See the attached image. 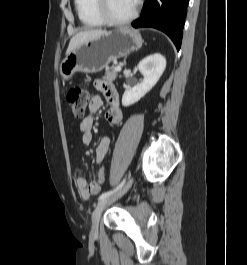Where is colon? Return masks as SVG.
Wrapping results in <instances>:
<instances>
[{"instance_id":"1","label":"colon","mask_w":247,"mask_h":265,"mask_svg":"<svg viewBox=\"0 0 247 265\" xmlns=\"http://www.w3.org/2000/svg\"><path fill=\"white\" fill-rule=\"evenodd\" d=\"M90 99L89 89L85 85L72 87L66 96V101L74 117H82L87 109ZM98 181L106 183V168L102 166L98 172Z\"/></svg>"}]
</instances>
